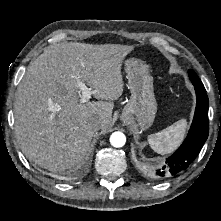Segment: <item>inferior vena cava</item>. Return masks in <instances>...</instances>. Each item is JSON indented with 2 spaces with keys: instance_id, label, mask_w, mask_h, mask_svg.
Returning <instances> with one entry per match:
<instances>
[{
  "instance_id": "inferior-vena-cava-1",
  "label": "inferior vena cava",
  "mask_w": 221,
  "mask_h": 221,
  "mask_svg": "<svg viewBox=\"0 0 221 221\" xmlns=\"http://www.w3.org/2000/svg\"><path fill=\"white\" fill-rule=\"evenodd\" d=\"M88 125L89 128L95 132L101 128L102 120L100 118L92 119Z\"/></svg>"
}]
</instances>
